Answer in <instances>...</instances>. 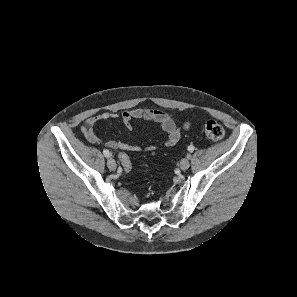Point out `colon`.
I'll use <instances>...</instances> for the list:
<instances>
[{
  "instance_id": "colon-1",
  "label": "colon",
  "mask_w": 297,
  "mask_h": 297,
  "mask_svg": "<svg viewBox=\"0 0 297 297\" xmlns=\"http://www.w3.org/2000/svg\"><path fill=\"white\" fill-rule=\"evenodd\" d=\"M204 133L209 139L219 141L224 137L225 130L220 123L210 120L207 121L204 126ZM119 160L123 164V170L125 172H130L132 170V164L130 163V158L126 152H121L119 154Z\"/></svg>"
}]
</instances>
